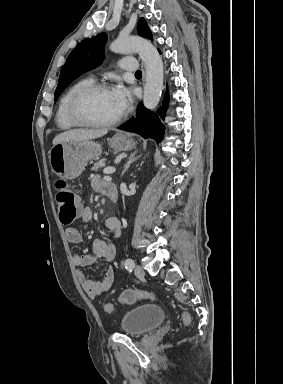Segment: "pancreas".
<instances>
[{
	"instance_id": "pancreas-1",
	"label": "pancreas",
	"mask_w": 283,
	"mask_h": 384,
	"mask_svg": "<svg viewBox=\"0 0 283 384\" xmlns=\"http://www.w3.org/2000/svg\"><path fill=\"white\" fill-rule=\"evenodd\" d=\"M104 166H105V160H100V162H96V164H94L91 170H95V172H98V170H100V168H104Z\"/></svg>"
}]
</instances>
